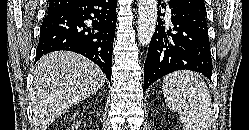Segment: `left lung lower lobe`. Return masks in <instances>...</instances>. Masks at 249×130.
Instances as JSON below:
<instances>
[{
    "label": "left lung lower lobe",
    "instance_id": "0a47b994",
    "mask_svg": "<svg viewBox=\"0 0 249 130\" xmlns=\"http://www.w3.org/2000/svg\"><path fill=\"white\" fill-rule=\"evenodd\" d=\"M161 1H158L160 5ZM162 8L166 5L162 4ZM171 25L160 18L151 39L144 64L145 91L153 82L177 70H192L211 79L212 59L206 18L195 13L178 0H170Z\"/></svg>",
    "mask_w": 249,
    "mask_h": 130
}]
</instances>
